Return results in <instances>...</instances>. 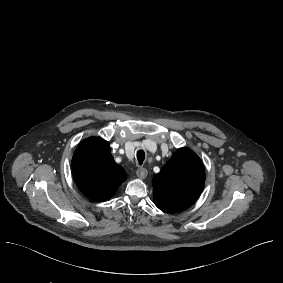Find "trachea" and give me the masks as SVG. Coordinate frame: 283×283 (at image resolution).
I'll use <instances>...</instances> for the list:
<instances>
[{"instance_id": "1", "label": "trachea", "mask_w": 283, "mask_h": 283, "mask_svg": "<svg viewBox=\"0 0 283 283\" xmlns=\"http://www.w3.org/2000/svg\"><path fill=\"white\" fill-rule=\"evenodd\" d=\"M145 159V153L143 150L137 151V161L139 165H142L143 161Z\"/></svg>"}]
</instances>
